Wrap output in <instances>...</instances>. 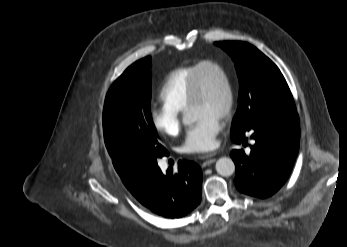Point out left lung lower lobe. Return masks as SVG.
<instances>
[{
  "label": "left lung lower lobe",
  "instance_id": "1",
  "mask_svg": "<svg viewBox=\"0 0 347 247\" xmlns=\"http://www.w3.org/2000/svg\"><path fill=\"white\" fill-rule=\"evenodd\" d=\"M248 132L253 140L250 154L243 150H233L230 154L236 166L234 182L240 192L266 198L284 185L293 168L300 139L298 114L267 115L246 131L231 133V139L246 145Z\"/></svg>",
  "mask_w": 347,
  "mask_h": 247
}]
</instances>
